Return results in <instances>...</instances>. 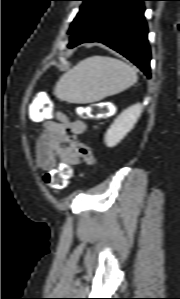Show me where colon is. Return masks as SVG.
<instances>
[{
    "instance_id": "obj_1",
    "label": "colon",
    "mask_w": 180,
    "mask_h": 299,
    "mask_svg": "<svg viewBox=\"0 0 180 299\" xmlns=\"http://www.w3.org/2000/svg\"><path fill=\"white\" fill-rule=\"evenodd\" d=\"M53 110L49 109L48 114H52ZM85 116L96 117L103 114L102 105H92L89 107L88 112L85 110L82 112ZM46 115H41L40 118H44ZM72 177V172L69 167L63 166L46 173L44 177L45 183L54 190H61L65 188Z\"/></svg>"
}]
</instances>
